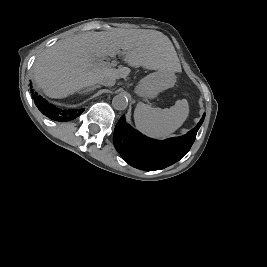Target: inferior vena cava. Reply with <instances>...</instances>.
Listing matches in <instances>:
<instances>
[{"instance_id":"1","label":"inferior vena cava","mask_w":267,"mask_h":267,"mask_svg":"<svg viewBox=\"0 0 267 267\" xmlns=\"http://www.w3.org/2000/svg\"><path fill=\"white\" fill-rule=\"evenodd\" d=\"M115 78L112 77H102L99 79L98 83L104 86H114L115 85Z\"/></svg>"}]
</instances>
